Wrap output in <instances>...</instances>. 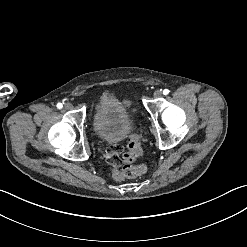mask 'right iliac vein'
<instances>
[{"mask_svg": "<svg viewBox=\"0 0 247 247\" xmlns=\"http://www.w3.org/2000/svg\"><path fill=\"white\" fill-rule=\"evenodd\" d=\"M65 108L67 110H71L73 108V105L70 102L65 103Z\"/></svg>", "mask_w": 247, "mask_h": 247, "instance_id": "right-iliac-vein-1", "label": "right iliac vein"}]
</instances>
